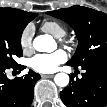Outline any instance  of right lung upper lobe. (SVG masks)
<instances>
[{"instance_id":"cb5924a9","label":"right lung upper lobe","mask_w":107,"mask_h":107,"mask_svg":"<svg viewBox=\"0 0 107 107\" xmlns=\"http://www.w3.org/2000/svg\"><path fill=\"white\" fill-rule=\"evenodd\" d=\"M8 9H12L13 11H15L19 17L24 18V19H33L34 14L30 13V12H26V11H22V10H18V9H13V8H8Z\"/></svg>"}]
</instances>
